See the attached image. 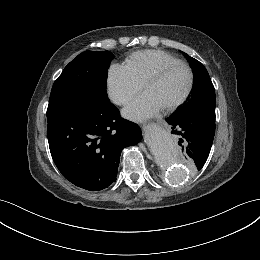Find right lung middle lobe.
<instances>
[{"label": "right lung middle lobe", "instance_id": "obj_1", "mask_svg": "<svg viewBox=\"0 0 260 260\" xmlns=\"http://www.w3.org/2000/svg\"><path fill=\"white\" fill-rule=\"evenodd\" d=\"M113 54L85 51L73 59L54 82L47 112L98 107L107 102L106 81Z\"/></svg>", "mask_w": 260, "mask_h": 260}]
</instances>
